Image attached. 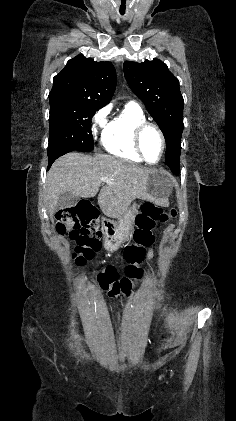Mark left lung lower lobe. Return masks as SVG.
<instances>
[{
    "label": "left lung lower lobe",
    "instance_id": "0a47b994",
    "mask_svg": "<svg viewBox=\"0 0 236 421\" xmlns=\"http://www.w3.org/2000/svg\"><path fill=\"white\" fill-rule=\"evenodd\" d=\"M171 171L176 174L179 175L180 174V167L179 165H173V166H169Z\"/></svg>",
    "mask_w": 236,
    "mask_h": 421
}]
</instances>
